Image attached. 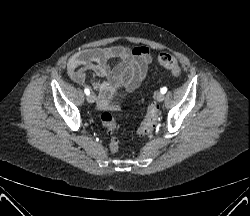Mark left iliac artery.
<instances>
[{"label":"left iliac artery","instance_id":"44dca946","mask_svg":"<svg viewBox=\"0 0 250 216\" xmlns=\"http://www.w3.org/2000/svg\"><path fill=\"white\" fill-rule=\"evenodd\" d=\"M166 92H167V88L166 87L161 88V93L165 94Z\"/></svg>","mask_w":250,"mask_h":216}]
</instances>
